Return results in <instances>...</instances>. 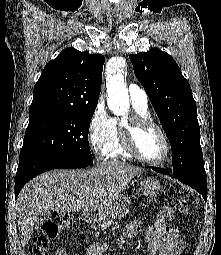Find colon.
Returning a JSON list of instances; mask_svg holds the SVG:
<instances>
[{
  "instance_id": "obj_1",
  "label": "colon",
  "mask_w": 221,
  "mask_h": 255,
  "mask_svg": "<svg viewBox=\"0 0 221 255\" xmlns=\"http://www.w3.org/2000/svg\"><path fill=\"white\" fill-rule=\"evenodd\" d=\"M178 210L183 215L191 212V204L188 198L182 197L178 201ZM173 213L169 207L163 208L158 214L155 231L163 232L167 230L168 223L172 219ZM73 225V220L68 213H56L46 220L42 226L41 232L35 236L30 246L31 255H49L50 241L58 236L64 230L69 229ZM57 255H66L60 250Z\"/></svg>"
}]
</instances>
